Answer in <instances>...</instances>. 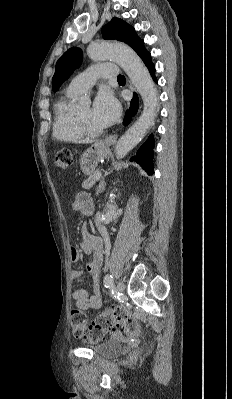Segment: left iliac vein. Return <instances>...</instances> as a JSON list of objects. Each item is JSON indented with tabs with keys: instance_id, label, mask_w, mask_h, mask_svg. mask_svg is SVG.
Masks as SVG:
<instances>
[{
	"instance_id": "4c4485c4",
	"label": "left iliac vein",
	"mask_w": 232,
	"mask_h": 399,
	"mask_svg": "<svg viewBox=\"0 0 232 399\" xmlns=\"http://www.w3.org/2000/svg\"><path fill=\"white\" fill-rule=\"evenodd\" d=\"M117 288L119 292H122L126 289V286L124 285V283H117Z\"/></svg>"
}]
</instances>
